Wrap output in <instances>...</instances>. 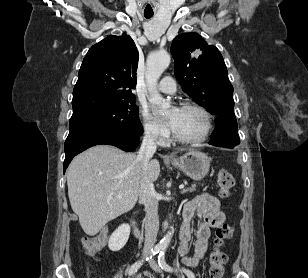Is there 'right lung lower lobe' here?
<instances>
[{
	"instance_id": "98d812e1",
	"label": "right lung lower lobe",
	"mask_w": 308,
	"mask_h": 278,
	"mask_svg": "<svg viewBox=\"0 0 308 278\" xmlns=\"http://www.w3.org/2000/svg\"><path fill=\"white\" fill-rule=\"evenodd\" d=\"M140 134L115 130H83L69 133L65 141L64 173L73 157L82 151L99 144L116 146L126 152L137 148Z\"/></svg>"
}]
</instances>
